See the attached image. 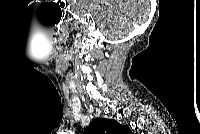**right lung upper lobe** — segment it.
Here are the masks:
<instances>
[{
    "label": "right lung upper lobe",
    "mask_w": 200,
    "mask_h": 134,
    "mask_svg": "<svg viewBox=\"0 0 200 134\" xmlns=\"http://www.w3.org/2000/svg\"><path fill=\"white\" fill-rule=\"evenodd\" d=\"M86 134H128L129 128L117 123L115 120L98 118L92 121L85 131Z\"/></svg>",
    "instance_id": "obj_1"
}]
</instances>
